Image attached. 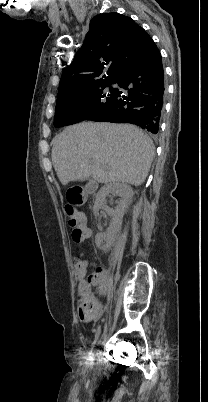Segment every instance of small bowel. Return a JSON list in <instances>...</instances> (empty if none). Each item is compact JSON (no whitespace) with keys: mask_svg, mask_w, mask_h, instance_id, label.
Instances as JSON below:
<instances>
[{"mask_svg":"<svg viewBox=\"0 0 208 402\" xmlns=\"http://www.w3.org/2000/svg\"><path fill=\"white\" fill-rule=\"evenodd\" d=\"M84 226L86 230V238H88L91 235V231L87 228L86 223H84ZM83 261L84 264L82 267H75V275L78 282V293L80 280H97L99 293H104L106 289L110 287V284L107 282L108 272L104 270L94 269L90 273L91 276L86 277L87 262L85 260ZM100 321L101 318L99 315H84L82 321L79 324V327L81 330H95L97 328V324H99ZM106 327L108 330H115L117 324L115 321H108Z\"/></svg>","mask_w":208,"mask_h":402,"instance_id":"c3829d8e","label":"small bowel"}]
</instances>
